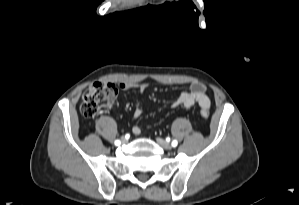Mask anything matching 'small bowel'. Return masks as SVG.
Wrapping results in <instances>:
<instances>
[{
	"instance_id": "1",
	"label": "small bowel",
	"mask_w": 299,
	"mask_h": 205,
	"mask_svg": "<svg viewBox=\"0 0 299 205\" xmlns=\"http://www.w3.org/2000/svg\"><path fill=\"white\" fill-rule=\"evenodd\" d=\"M121 89H132L136 88L140 91L141 94L145 93L148 85L146 83H121L119 84ZM194 104H198L201 108L209 109L210 100L205 93V86L200 82H192L190 84L189 90L183 91L173 102L172 107L183 106L189 108ZM143 113V107L139 102H135L133 108V116L135 119H138ZM132 132L135 135L141 133V128L139 126H133Z\"/></svg>"
}]
</instances>
